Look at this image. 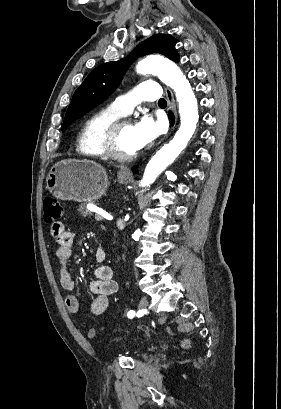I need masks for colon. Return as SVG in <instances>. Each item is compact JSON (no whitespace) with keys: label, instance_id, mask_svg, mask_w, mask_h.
Wrapping results in <instances>:
<instances>
[{"label":"colon","instance_id":"colon-1","mask_svg":"<svg viewBox=\"0 0 281 409\" xmlns=\"http://www.w3.org/2000/svg\"><path fill=\"white\" fill-rule=\"evenodd\" d=\"M62 205L60 202L54 197H46L43 200V214L44 220L47 223H51L61 218L62 216ZM95 331L93 328L88 330V336L94 337ZM181 347L188 348L190 346V341L186 338L180 341Z\"/></svg>","mask_w":281,"mask_h":409}]
</instances>
